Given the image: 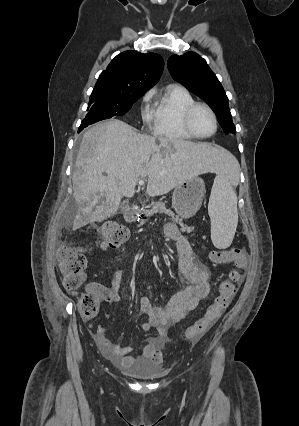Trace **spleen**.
I'll list each match as a JSON object with an SVG mask.
<instances>
[{
  "mask_svg": "<svg viewBox=\"0 0 299 426\" xmlns=\"http://www.w3.org/2000/svg\"><path fill=\"white\" fill-rule=\"evenodd\" d=\"M236 166V162L233 164ZM211 219V240L218 249L228 248L237 224V195L226 172L218 173L212 186L208 204Z\"/></svg>",
  "mask_w": 299,
  "mask_h": 426,
  "instance_id": "1",
  "label": "spleen"
}]
</instances>
